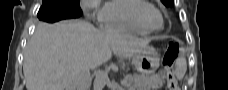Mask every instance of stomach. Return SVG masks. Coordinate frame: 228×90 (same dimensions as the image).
<instances>
[{"label": "stomach", "instance_id": "0dacf381", "mask_svg": "<svg viewBox=\"0 0 228 90\" xmlns=\"http://www.w3.org/2000/svg\"><path fill=\"white\" fill-rule=\"evenodd\" d=\"M132 64L140 74L149 75L159 67L160 56L155 48L147 46L134 56Z\"/></svg>", "mask_w": 228, "mask_h": 90}]
</instances>
